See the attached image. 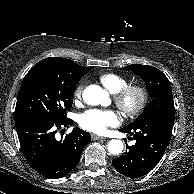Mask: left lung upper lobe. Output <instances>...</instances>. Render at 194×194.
I'll return each instance as SVG.
<instances>
[{
  "label": "left lung upper lobe",
  "mask_w": 194,
  "mask_h": 194,
  "mask_svg": "<svg viewBox=\"0 0 194 194\" xmlns=\"http://www.w3.org/2000/svg\"><path fill=\"white\" fill-rule=\"evenodd\" d=\"M125 69L136 73L145 81L149 96L151 97V102L142 114L126 127H131L146 115L175 110L171 84L164 73L155 67L140 64L128 65Z\"/></svg>",
  "instance_id": "1"
}]
</instances>
